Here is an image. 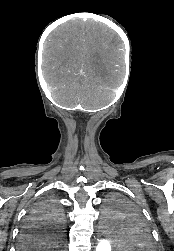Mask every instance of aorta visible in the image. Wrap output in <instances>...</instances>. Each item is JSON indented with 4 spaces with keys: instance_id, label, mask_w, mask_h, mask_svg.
Masks as SVG:
<instances>
[{
    "instance_id": "762f6f07",
    "label": "aorta",
    "mask_w": 174,
    "mask_h": 251,
    "mask_svg": "<svg viewBox=\"0 0 174 251\" xmlns=\"http://www.w3.org/2000/svg\"><path fill=\"white\" fill-rule=\"evenodd\" d=\"M126 230L121 221L107 219L101 227V236L98 239L95 251H113L115 240L125 238Z\"/></svg>"
}]
</instances>
